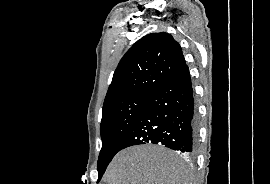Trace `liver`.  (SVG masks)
Returning <instances> with one entry per match:
<instances>
[{
  "mask_svg": "<svg viewBox=\"0 0 270 184\" xmlns=\"http://www.w3.org/2000/svg\"><path fill=\"white\" fill-rule=\"evenodd\" d=\"M104 180L107 184H189V171L161 146L137 145L115 155Z\"/></svg>",
  "mask_w": 270,
  "mask_h": 184,
  "instance_id": "1",
  "label": "liver"
}]
</instances>
